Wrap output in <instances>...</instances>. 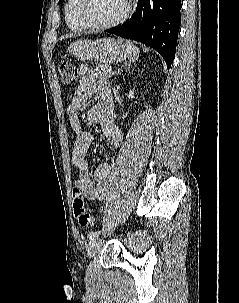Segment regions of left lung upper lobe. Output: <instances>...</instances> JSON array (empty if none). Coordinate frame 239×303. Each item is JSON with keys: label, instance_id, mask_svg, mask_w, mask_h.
Wrapping results in <instances>:
<instances>
[{"label": "left lung upper lobe", "instance_id": "left-lung-upper-lobe-1", "mask_svg": "<svg viewBox=\"0 0 239 303\" xmlns=\"http://www.w3.org/2000/svg\"><path fill=\"white\" fill-rule=\"evenodd\" d=\"M62 2H63V0H60V1H59V3H62Z\"/></svg>", "mask_w": 239, "mask_h": 303}]
</instances>
